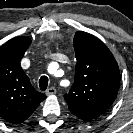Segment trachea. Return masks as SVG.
Masks as SVG:
<instances>
[{
    "label": "trachea",
    "mask_w": 133,
    "mask_h": 133,
    "mask_svg": "<svg viewBox=\"0 0 133 133\" xmlns=\"http://www.w3.org/2000/svg\"><path fill=\"white\" fill-rule=\"evenodd\" d=\"M48 77L47 76H42L40 79H39V87H40V90L44 91L47 89L48 87Z\"/></svg>",
    "instance_id": "obj_1"
}]
</instances>
